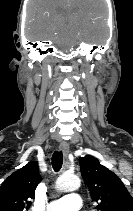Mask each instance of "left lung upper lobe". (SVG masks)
Instances as JSON below:
<instances>
[{
    "label": "left lung upper lobe",
    "mask_w": 133,
    "mask_h": 211,
    "mask_svg": "<svg viewBox=\"0 0 133 211\" xmlns=\"http://www.w3.org/2000/svg\"><path fill=\"white\" fill-rule=\"evenodd\" d=\"M81 175L100 211H133V198L120 178L90 155L80 158Z\"/></svg>",
    "instance_id": "5c2ea615"
}]
</instances>
